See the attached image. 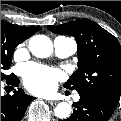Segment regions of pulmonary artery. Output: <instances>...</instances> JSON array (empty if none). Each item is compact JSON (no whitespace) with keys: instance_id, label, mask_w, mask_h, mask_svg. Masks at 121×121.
<instances>
[{"instance_id":"1","label":"pulmonary artery","mask_w":121,"mask_h":121,"mask_svg":"<svg viewBox=\"0 0 121 121\" xmlns=\"http://www.w3.org/2000/svg\"><path fill=\"white\" fill-rule=\"evenodd\" d=\"M54 50L57 57L67 58L77 51V43L73 39L59 36L54 40ZM79 99V94L73 96L74 101H79Z\"/></svg>"}]
</instances>
